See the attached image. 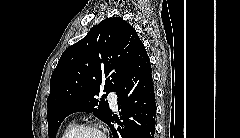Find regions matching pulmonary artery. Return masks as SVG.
Segmentation results:
<instances>
[{
    "label": "pulmonary artery",
    "mask_w": 240,
    "mask_h": 138,
    "mask_svg": "<svg viewBox=\"0 0 240 138\" xmlns=\"http://www.w3.org/2000/svg\"><path fill=\"white\" fill-rule=\"evenodd\" d=\"M108 100L111 102L113 109H117L118 108V96L116 92H111L108 95Z\"/></svg>",
    "instance_id": "obj_1"
}]
</instances>
